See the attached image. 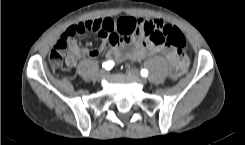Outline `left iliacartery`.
<instances>
[{
  "mask_svg": "<svg viewBox=\"0 0 245 145\" xmlns=\"http://www.w3.org/2000/svg\"><path fill=\"white\" fill-rule=\"evenodd\" d=\"M140 73H141L142 77H147L148 76V70L147 69H142Z\"/></svg>",
  "mask_w": 245,
  "mask_h": 145,
  "instance_id": "44dca946",
  "label": "left iliac artery"
}]
</instances>
